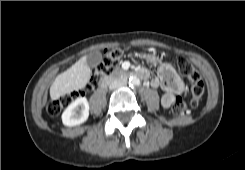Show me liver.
<instances>
[{"label":"liver","instance_id":"1","mask_svg":"<svg viewBox=\"0 0 245 170\" xmlns=\"http://www.w3.org/2000/svg\"><path fill=\"white\" fill-rule=\"evenodd\" d=\"M87 56L80 58L65 72L59 74L50 88V97L57 100L72 91L82 89L91 77V69L86 64Z\"/></svg>","mask_w":245,"mask_h":170}]
</instances>
